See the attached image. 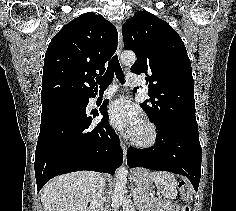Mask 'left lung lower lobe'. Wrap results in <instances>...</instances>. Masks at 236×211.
<instances>
[{
  "label": "left lung lower lobe",
  "instance_id": "obj_1",
  "mask_svg": "<svg viewBox=\"0 0 236 211\" xmlns=\"http://www.w3.org/2000/svg\"><path fill=\"white\" fill-rule=\"evenodd\" d=\"M156 145L149 149L129 148L130 167L164 170L186 176L195 191L201 177V145L198 127L157 126Z\"/></svg>",
  "mask_w": 236,
  "mask_h": 211
}]
</instances>
